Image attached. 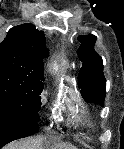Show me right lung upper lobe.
Listing matches in <instances>:
<instances>
[{"label": "right lung upper lobe", "mask_w": 124, "mask_h": 149, "mask_svg": "<svg viewBox=\"0 0 124 149\" xmlns=\"http://www.w3.org/2000/svg\"><path fill=\"white\" fill-rule=\"evenodd\" d=\"M47 56L42 31L28 23L15 26L0 43V73L28 86L43 87V59Z\"/></svg>", "instance_id": "obj_1"}]
</instances>
